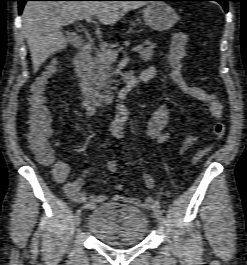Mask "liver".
Instances as JSON below:
<instances>
[{"mask_svg":"<svg viewBox=\"0 0 247 265\" xmlns=\"http://www.w3.org/2000/svg\"><path fill=\"white\" fill-rule=\"evenodd\" d=\"M141 1H28L22 13V31L27 40L34 72L46 59L68 45L61 28L95 15L104 25H113Z\"/></svg>","mask_w":247,"mask_h":265,"instance_id":"liver-1","label":"liver"}]
</instances>
